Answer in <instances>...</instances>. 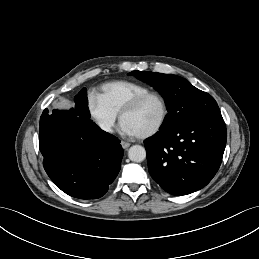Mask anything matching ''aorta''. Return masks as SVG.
I'll return each instance as SVG.
<instances>
[{
	"mask_svg": "<svg viewBox=\"0 0 259 259\" xmlns=\"http://www.w3.org/2000/svg\"><path fill=\"white\" fill-rule=\"evenodd\" d=\"M128 157L133 162H142L146 158V150L141 145H133L128 151Z\"/></svg>",
	"mask_w": 259,
	"mask_h": 259,
	"instance_id": "obj_1",
	"label": "aorta"
}]
</instances>
